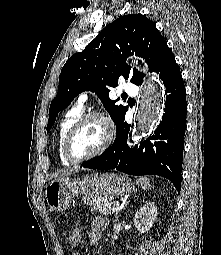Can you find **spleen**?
<instances>
[{"instance_id":"obj_1","label":"spleen","mask_w":221,"mask_h":255,"mask_svg":"<svg viewBox=\"0 0 221 255\" xmlns=\"http://www.w3.org/2000/svg\"><path fill=\"white\" fill-rule=\"evenodd\" d=\"M136 184L140 185L144 190H148L150 188V181L147 177H140L136 179Z\"/></svg>"}]
</instances>
